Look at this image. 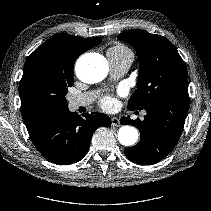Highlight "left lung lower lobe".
I'll list each match as a JSON object with an SVG mask.
<instances>
[{"label": "left lung lower lobe", "mask_w": 211, "mask_h": 211, "mask_svg": "<svg viewBox=\"0 0 211 211\" xmlns=\"http://www.w3.org/2000/svg\"><path fill=\"white\" fill-rule=\"evenodd\" d=\"M145 110L143 121L123 117L120 123L137 126L141 134L138 145L125 149L126 157L137 164L152 165L164 159L176 146L188 111V97L161 98Z\"/></svg>", "instance_id": "1"}]
</instances>
